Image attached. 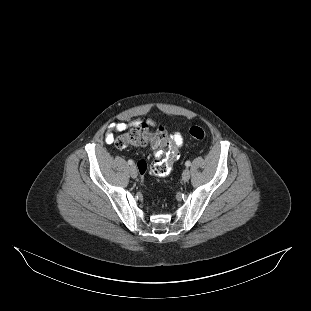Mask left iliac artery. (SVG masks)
I'll use <instances>...</instances> for the list:
<instances>
[{
    "mask_svg": "<svg viewBox=\"0 0 311 311\" xmlns=\"http://www.w3.org/2000/svg\"><path fill=\"white\" fill-rule=\"evenodd\" d=\"M185 165H186L187 167H189V166L191 165V162H190V161H186V162H185Z\"/></svg>",
    "mask_w": 311,
    "mask_h": 311,
    "instance_id": "44dca946",
    "label": "left iliac artery"
}]
</instances>
